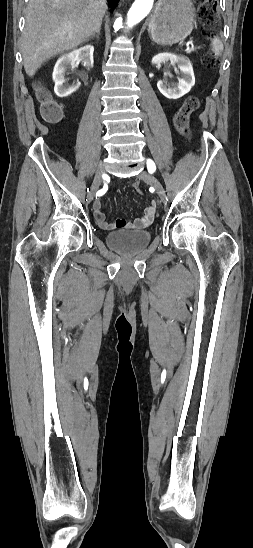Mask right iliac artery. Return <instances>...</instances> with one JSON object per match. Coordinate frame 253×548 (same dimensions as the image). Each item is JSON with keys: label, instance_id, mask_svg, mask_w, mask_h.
Masks as SVG:
<instances>
[{"label": "right iliac artery", "instance_id": "1", "mask_svg": "<svg viewBox=\"0 0 253 548\" xmlns=\"http://www.w3.org/2000/svg\"><path fill=\"white\" fill-rule=\"evenodd\" d=\"M105 192H106V189H105V187H104L103 189H101V190H99V191L97 192L96 197H97V196L103 195Z\"/></svg>", "mask_w": 253, "mask_h": 548}]
</instances>
